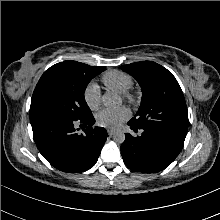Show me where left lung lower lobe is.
Returning a JSON list of instances; mask_svg holds the SVG:
<instances>
[{
	"label": "left lung lower lobe",
	"instance_id": "obj_1",
	"mask_svg": "<svg viewBox=\"0 0 220 220\" xmlns=\"http://www.w3.org/2000/svg\"><path fill=\"white\" fill-rule=\"evenodd\" d=\"M131 129L137 127L128 122ZM141 136L127 133L121 145L126 166L136 172L154 173L168 167L183 148L184 140L159 129L139 128Z\"/></svg>",
	"mask_w": 220,
	"mask_h": 220
}]
</instances>
